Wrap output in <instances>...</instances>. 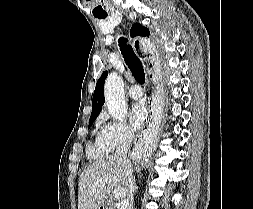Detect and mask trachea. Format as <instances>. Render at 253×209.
I'll use <instances>...</instances> for the list:
<instances>
[{
    "label": "trachea",
    "instance_id": "obj_1",
    "mask_svg": "<svg viewBox=\"0 0 253 209\" xmlns=\"http://www.w3.org/2000/svg\"><path fill=\"white\" fill-rule=\"evenodd\" d=\"M99 19H105L106 16H100ZM119 47L123 58L132 72V75L136 81L140 84L145 83V72L143 65L139 58L136 56L134 50L130 45L127 44V39L124 37L119 38Z\"/></svg>",
    "mask_w": 253,
    "mask_h": 209
}]
</instances>
